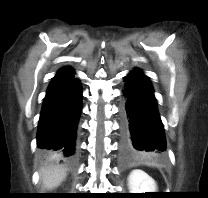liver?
I'll use <instances>...</instances> for the list:
<instances>
[{
  "label": "liver",
  "instance_id": "1",
  "mask_svg": "<svg viewBox=\"0 0 208 198\" xmlns=\"http://www.w3.org/2000/svg\"><path fill=\"white\" fill-rule=\"evenodd\" d=\"M40 174L43 186L48 190L58 187L67 175L66 169L62 166L42 168Z\"/></svg>",
  "mask_w": 208,
  "mask_h": 198
}]
</instances>
